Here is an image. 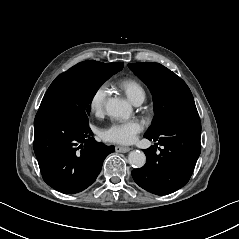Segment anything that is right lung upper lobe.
Wrapping results in <instances>:
<instances>
[{
  "label": "right lung upper lobe",
  "mask_w": 239,
  "mask_h": 239,
  "mask_svg": "<svg viewBox=\"0 0 239 239\" xmlns=\"http://www.w3.org/2000/svg\"><path fill=\"white\" fill-rule=\"evenodd\" d=\"M85 62H96L100 65H103L113 71H120L122 68H123V63L122 62H115V63H109V64H106V63H102V62H98V61H94V60H87Z\"/></svg>",
  "instance_id": "right-lung-upper-lobe-1"
}]
</instances>
